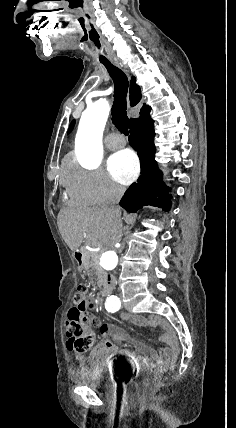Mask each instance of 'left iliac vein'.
<instances>
[{"label":"left iliac vein","instance_id":"left-iliac-vein-1","mask_svg":"<svg viewBox=\"0 0 236 428\" xmlns=\"http://www.w3.org/2000/svg\"><path fill=\"white\" fill-rule=\"evenodd\" d=\"M119 297H120V301H123V296H122V294H119Z\"/></svg>","mask_w":236,"mask_h":428}]
</instances>
